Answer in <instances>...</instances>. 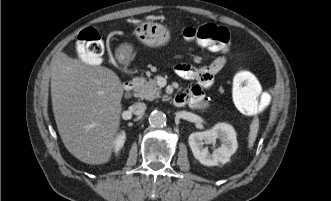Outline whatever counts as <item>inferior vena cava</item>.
I'll return each instance as SVG.
<instances>
[{
	"mask_svg": "<svg viewBox=\"0 0 331 201\" xmlns=\"http://www.w3.org/2000/svg\"><path fill=\"white\" fill-rule=\"evenodd\" d=\"M146 104L143 102H136L131 106V112L134 115L141 116L145 113L146 111Z\"/></svg>",
	"mask_w": 331,
	"mask_h": 201,
	"instance_id": "1",
	"label": "inferior vena cava"
}]
</instances>
